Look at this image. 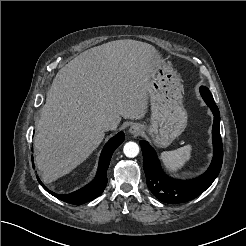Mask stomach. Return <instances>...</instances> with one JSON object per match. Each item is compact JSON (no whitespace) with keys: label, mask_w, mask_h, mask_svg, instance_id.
Returning a JSON list of instances; mask_svg holds the SVG:
<instances>
[{"label":"stomach","mask_w":246,"mask_h":246,"mask_svg":"<svg viewBox=\"0 0 246 246\" xmlns=\"http://www.w3.org/2000/svg\"><path fill=\"white\" fill-rule=\"evenodd\" d=\"M151 78V119L145 129L158 148L169 146L187 126V112L183 106L181 78L164 65L158 53L154 56Z\"/></svg>","instance_id":"0dacf381"}]
</instances>
